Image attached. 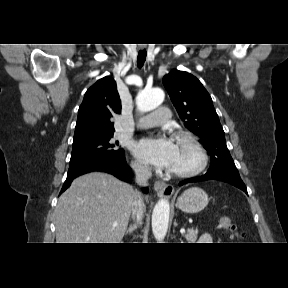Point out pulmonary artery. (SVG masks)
Segmentation results:
<instances>
[{"mask_svg": "<svg viewBox=\"0 0 288 288\" xmlns=\"http://www.w3.org/2000/svg\"><path fill=\"white\" fill-rule=\"evenodd\" d=\"M170 119V111L167 107H159L153 113L146 115L142 120L143 128L161 127Z\"/></svg>", "mask_w": 288, "mask_h": 288, "instance_id": "e3ab8cb5", "label": "pulmonary artery"}]
</instances>
